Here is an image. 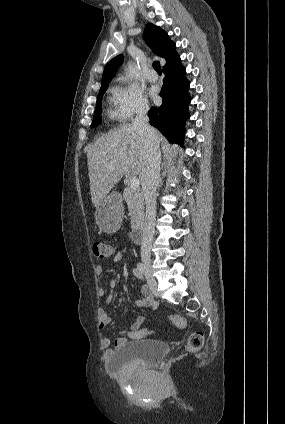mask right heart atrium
Returning <instances> with one entry per match:
<instances>
[{"label": "right heart atrium", "instance_id": "right-heart-atrium-1", "mask_svg": "<svg viewBox=\"0 0 285 424\" xmlns=\"http://www.w3.org/2000/svg\"><path fill=\"white\" fill-rule=\"evenodd\" d=\"M116 101L123 121L144 115L149 110V103L142 88L126 79L119 80Z\"/></svg>", "mask_w": 285, "mask_h": 424}]
</instances>
